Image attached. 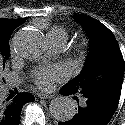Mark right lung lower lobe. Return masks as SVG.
<instances>
[{
	"instance_id": "right-lung-lower-lobe-1",
	"label": "right lung lower lobe",
	"mask_w": 125,
	"mask_h": 125,
	"mask_svg": "<svg viewBox=\"0 0 125 125\" xmlns=\"http://www.w3.org/2000/svg\"><path fill=\"white\" fill-rule=\"evenodd\" d=\"M34 100L35 97L28 92L9 96L7 101L0 99V125H19L23 105Z\"/></svg>"
}]
</instances>
